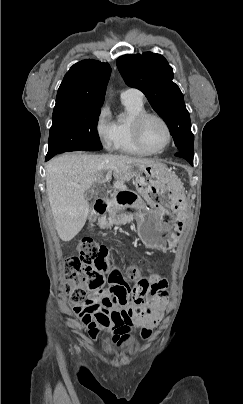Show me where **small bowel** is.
<instances>
[{
	"instance_id": "c3829d8e",
	"label": "small bowel",
	"mask_w": 243,
	"mask_h": 404,
	"mask_svg": "<svg viewBox=\"0 0 243 404\" xmlns=\"http://www.w3.org/2000/svg\"><path fill=\"white\" fill-rule=\"evenodd\" d=\"M97 279L100 284H89L88 297L73 305L78 324L87 328L93 339L104 330L110 332L111 343L117 347L128 341L133 326L141 327L143 338H149L163 316L168 300L167 281L142 279L131 289L118 270L108 279ZM135 291L144 293V301L129 305L128 296Z\"/></svg>"
}]
</instances>
